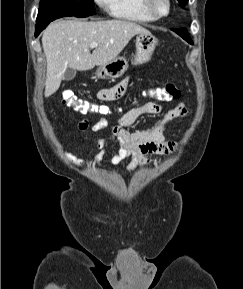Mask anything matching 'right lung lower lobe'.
Returning <instances> with one entry per match:
<instances>
[{"label": "right lung lower lobe", "instance_id": "obj_1", "mask_svg": "<svg viewBox=\"0 0 243 289\" xmlns=\"http://www.w3.org/2000/svg\"><path fill=\"white\" fill-rule=\"evenodd\" d=\"M69 15H65L62 13H56L53 15H40L38 14L37 16V20H36V31H35V37H37L40 32L53 20L61 18V17H68ZM84 17H88V16H84Z\"/></svg>", "mask_w": 243, "mask_h": 289}]
</instances>
